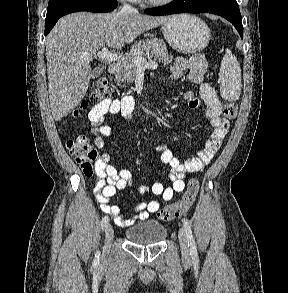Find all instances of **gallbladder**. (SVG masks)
Returning <instances> with one entry per match:
<instances>
[{"label": "gallbladder", "instance_id": "gallbladder-1", "mask_svg": "<svg viewBox=\"0 0 288 293\" xmlns=\"http://www.w3.org/2000/svg\"><path fill=\"white\" fill-rule=\"evenodd\" d=\"M104 71V67L102 66H98V67H95L94 70H93V78H97L98 76H100Z\"/></svg>", "mask_w": 288, "mask_h": 293}]
</instances>
